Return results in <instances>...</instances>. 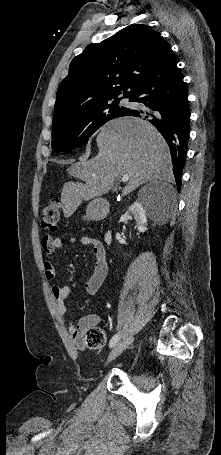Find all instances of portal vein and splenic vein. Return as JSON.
Instances as JSON below:
<instances>
[{"instance_id": "obj_1", "label": "portal vein and splenic vein", "mask_w": 221, "mask_h": 455, "mask_svg": "<svg viewBox=\"0 0 221 455\" xmlns=\"http://www.w3.org/2000/svg\"><path fill=\"white\" fill-rule=\"evenodd\" d=\"M130 179V176L128 174H125L122 176V182H127Z\"/></svg>"}]
</instances>
